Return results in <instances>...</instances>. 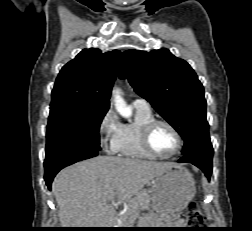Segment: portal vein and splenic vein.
Wrapping results in <instances>:
<instances>
[{"label":"portal vein and splenic vein","instance_id":"1","mask_svg":"<svg viewBox=\"0 0 252 231\" xmlns=\"http://www.w3.org/2000/svg\"><path fill=\"white\" fill-rule=\"evenodd\" d=\"M114 200H115V194H112V195L108 196V198H107L108 202H113Z\"/></svg>","mask_w":252,"mask_h":231}]
</instances>
